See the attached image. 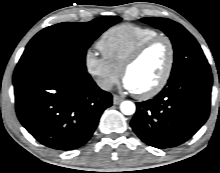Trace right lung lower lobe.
<instances>
[{"mask_svg": "<svg viewBox=\"0 0 220 173\" xmlns=\"http://www.w3.org/2000/svg\"><path fill=\"white\" fill-rule=\"evenodd\" d=\"M13 83L21 124L41 144L57 150L83 146L102 112L112 105L86 71L57 61L17 65Z\"/></svg>", "mask_w": 220, "mask_h": 173, "instance_id": "obj_1", "label": "right lung lower lobe"}]
</instances>
